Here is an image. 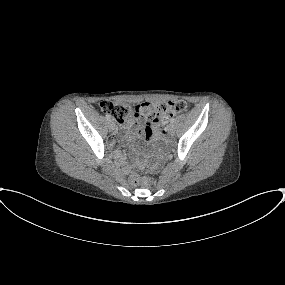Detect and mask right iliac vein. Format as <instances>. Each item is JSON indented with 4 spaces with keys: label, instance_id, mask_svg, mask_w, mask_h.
<instances>
[{
    "label": "right iliac vein",
    "instance_id": "right-iliac-vein-1",
    "mask_svg": "<svg viewBox=\"0 0 285 285\" xmlns=\"http://www.w3.org/2000/svg\"><path fill=\"white\" fill-rule=\"evenodd\" d=\"M108 127H109L111 132H116L117 131V127H116L115 123L112 120L108 121Z\"/></svg>",
    "mask_w": 285,
    "mask_h": 285
}]
</instances>
